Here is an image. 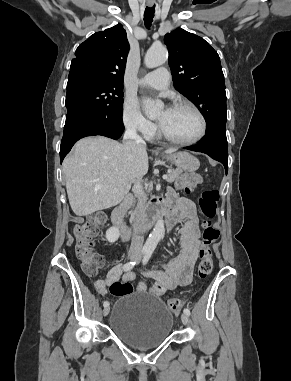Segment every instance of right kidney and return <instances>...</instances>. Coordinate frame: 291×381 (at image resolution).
Masks as SVG:
<instances>
[{
	"label": "right kidney",
	"instance_id": "obj_1",
	"mask_svg": "<svg viewBox=\"0 0 291 381\" xmlns=\"http://www.w3.org/2000/svg\"><path fill=\"white\" fill-rule=\"evenodd\" d=\"M120 232L117 227H111L106 231V239L110 243H114L118 240Z\"/></svg>",
	"mask_w": 291,
	"mask_h": 381
}]
</instances>
